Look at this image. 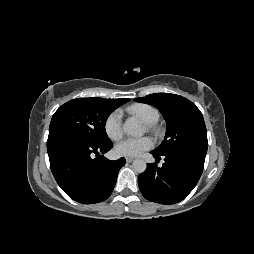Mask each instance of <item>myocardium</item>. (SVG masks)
I'll return each instance as SVG.
<instances>
[{"label": "myocardium", "mask_w": 254, "mask_h": 254, "mask_svg": "<svg viewBox=\"0 0 254 254\" xmlns=\"http://www.w3.org/2000/svg\"><path fill=\"white\" fill-rule=\"evenodd\" d=\"M147 130H149L150 132L158 135L160 132V129L153 123V124H147Z\"/></svg>", "instance_id": "f54148a6"}]
</instances>
